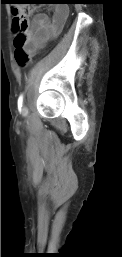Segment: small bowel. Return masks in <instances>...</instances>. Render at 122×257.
<instances>
[{
	"instance_id": "c3829d8e",
	"label": "small bowel",
	"mask_w": 122,
	"mask_h": 257,
	"mask_svg": "<svg viewBox=\"0 0 122 257\" xmlns=\"http://www.w3.org/2000/svg\"><path fill=\"white\" fill-rule=\"evenodd\" d=\"M68 13L67 7L57 6L54 8L51 19L47 14H36L29 23L25 33L23 45L25 51L32 55L38 48L57 37L63 29Z\"/></svg>"
}]
</instances>
